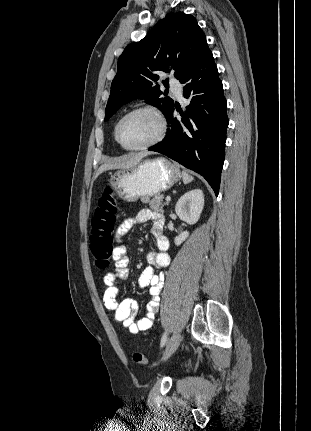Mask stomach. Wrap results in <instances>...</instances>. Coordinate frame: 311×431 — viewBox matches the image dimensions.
<instances>
[{"mask_svg": "<svg viewBox=\"0 0 311 431\" xmlns=\"http://www.w3.org/2000/svg\"><path fill=\"white\" fill-rule=\"evenodd\" d=\"M182 174L166 158L143 160L138 166L116 170L108 180L111 190L123 202H137L167 192L181 180Z\"/></svg>", "mask_w": 311, "mask_h": 431, "instance_id": "stomach-1", "label": "stomach"}]
</instances>
